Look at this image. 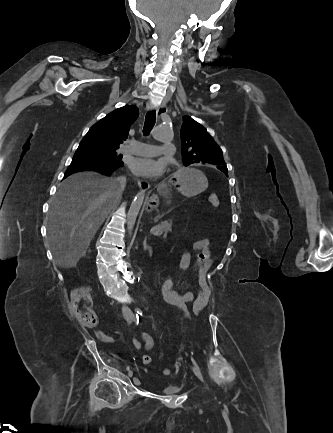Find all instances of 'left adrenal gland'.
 <instances>
[{
  "label": "left adrenal gland",
  "mask_w": 333,
  "mask_h": 433,
  "mask_svg": "<svg viewBox=\"0 0 333 433\" xmlns=\"http://www.w3.org/2000/svg\"><path fill=\"white\" fill-rule=\"evenodd\" d=\"M143 249L146 251V250H149V251H151V246H148L147 245V238H145L144 239V242H143Z\"/></svg>",
  "instance_id": "1"
}]
</instances>
